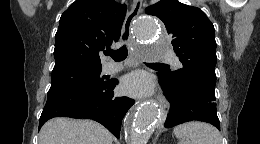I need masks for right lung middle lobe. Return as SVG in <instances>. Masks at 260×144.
<instances>
[{"mask_svg": "<svg viewBox=\"0 0 260 144\" xmlns=\"http://www.w3.org/2000/svg\"><path fill=\"white\" fill-rule=\"evenodd\" d=\"M101 66H70L52 71L49 91L69 88H99L106 84L100 77Z\"/></svg>", "mask_w": 260, "mask_h": 144, "instance_id": "dd1d6c3e", "label": "right lung middle lobe"}]
</instances>
